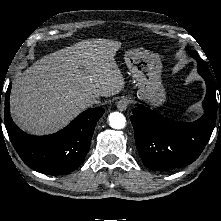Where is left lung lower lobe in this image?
Returning <instances> with one entry per match:
<instances>
[{
	"label": "left lung lower lobe",
	"instance_id": "0a47b994",
	"mask_svg": "<svg viewBox=\"0 0 221 221\" xmlns=\"http://www.w3.org/2000/svg\"><path fill=\"white\" fill-rule=\"evenodd\" d=\"M196 60L198 73L207 85L205 112L200 119L191 123L174 122L142 105L132 110L136 147L143 164L152 170H172L191 164L212 134L217 112L214 81L203 60L200 57Z\"/></svg>",
	"mask_w": 221,
	"mask_h": 221
}]
</instances>
